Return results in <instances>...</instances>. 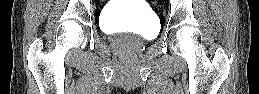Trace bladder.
I'll list each match as a JSON object with an SVG mask.
<instances>
[{
  "label": "bladder",
  "instance_id": "1",
  "mask_svg": "<svg viewBox=\"0 0 259 94\" xmlns=\"http://www.w3.org/2000/svg\"><path fill=\"white\" fill-rule=\"evenodd\" d=\"M135 24L138 26V27H147L149 25V20L148 18H146V16H138L137 18H135L134 20Z\"/></svg>",
  "mask_w": 259,
  "mask_h": 94
}]
</instances>
